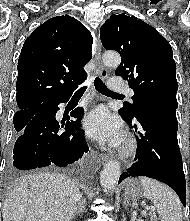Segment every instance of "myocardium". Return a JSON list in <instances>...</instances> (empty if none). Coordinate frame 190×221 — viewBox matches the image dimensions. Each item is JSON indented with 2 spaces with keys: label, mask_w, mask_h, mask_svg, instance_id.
Instances as JSON below:
<instances>
[{
  "label": "myocardium",
  "mask_w": 190,
  "mask_h": 221,
  "mask_svg": "<svg viewBox=\"0 0 190 221\" xmlns=\"http://www.w3.org/2000/svg\"><path fill=\"white\" fill-rule=\"evenodd\" d=\"M136 151V142L130 138L126 137L121 146L117 150V154L122 158H127L132 156Z\"/></svg>",
  "instance_id": "myocardium-1"
}]
</instances>
